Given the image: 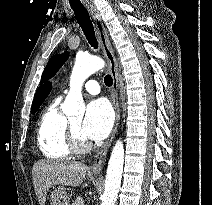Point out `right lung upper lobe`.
Listing matches in <instances>:
<instances>
[{"label": "right lung upper lobe", "mask_w": 212, "mask_h": 205, "mask_svg": "<svg viewBox=\"0 0 212 205\" xmlns=\"http://www.w3.org/2000/svg\"><path fill=\"white\" fill-rule=\"evenodd\" d=\"M51 83H47L43 87H39L34 96L32 107L40 106L51 90Z\"/></svg>", "instance_id": "cb5924a9"}]
</instances>
